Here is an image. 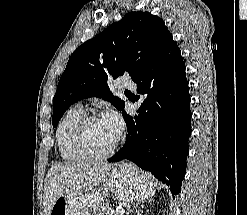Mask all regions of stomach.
Instances as JSON below:
<instances>
[{"mask_svg":"<svg viewBox=\"0 0 247 215\" xmlns=\"http://www.w3.org/2000/svg\"><path fill=\"white\" fill-rule=\"evenodd\" d=\"M104 182L103 186L82 195L60 196L49 215H88L108 193L118 200L129 202L150 198L155 192L150 176L129 163L113 168Z\"/></svg>","mask_w":247,"mask_h":215,"instance_id":"obj_1","label":"stomach"}]
</instances>
